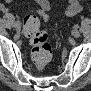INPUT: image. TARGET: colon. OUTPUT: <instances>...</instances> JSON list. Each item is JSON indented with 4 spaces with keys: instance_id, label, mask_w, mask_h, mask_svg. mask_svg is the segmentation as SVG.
Listing matches in <instances>:
<instances>
[{
    "instance_id": "colon-1",
    "label": "colon",
    "mask_w": 91,
    "mask_h": 91,
    "mask_svg": "<svg viewBox=\"0 0 91 91\" xmlns=\"http://www.w3.org/2000/svg\"><path fill=\"white\" fill-rule=\"evenodd\" d=\"M47 20L48 15H40ZM24 35L29 38L31 45V58L38 69H43L52 58V49L48 42V34L40 29V18L29 14L23 22Z\"/></svg>"
}]
</instances>
